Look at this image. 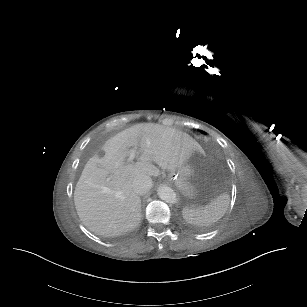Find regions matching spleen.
<instances>
[{"instance_id": "obj_1", "label": "spleen", "mask_w": 307, "mask_h": 307, "mask_svg": "<svg viewBox=\"0 0 307 307\" xmlns=\"http://www.w3.org/2000/svg\"><path fill=\"white\" fill-rule=\"evenodd\" d=\"M229 203L230 196L227 192H224L212 199L209 204L201 206L196 210L192 207L186 208L183 215L196 225L208 226L217 222L225 215Z\"/></svg>"}]
</instances>
